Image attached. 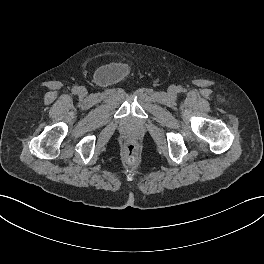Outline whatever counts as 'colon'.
<instances>
[{
	"mask_svg": "<svg viewBox=\"0 0 264 264\" xmlns=\"http://www.w3.org/2000/svg\"><path fill=\"white\" fill-rule=\"evenodd\" d=\"M125 151H126V155H127V159L129 160V162H134L135 158H136V152H137V146L134 142H129L126 146H125Z\"/></svg>",
	"mask_w": 264,
	"mask_h": 264,
	"instance_id": "obj_1",
	"label": "colon"
}]
</instances>
